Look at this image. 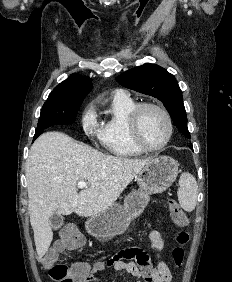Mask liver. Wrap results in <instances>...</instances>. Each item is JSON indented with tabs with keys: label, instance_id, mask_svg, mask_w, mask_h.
<instances>
[{
	"label": "liver",
	"instance_id": "1",
	"mask_svg": "<svg viewBox=\"0 0 232 282\" xmlns=\"http://www.w3.org/2000/svg\"><path fill=\"white\" fill-rule=\"evenodd\" d=\"M150 159L103 154L63 132L42 134L31 146L26 169L28 211L39 258L53 239V213L94 216L114 204ZM88 187L78 193L77 183Z\"/></svg>",
	"mask_w": 232,
	"mask_h": 282
}]
</instances>
